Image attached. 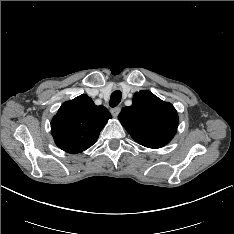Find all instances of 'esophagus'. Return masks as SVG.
<instances>
[{
	"mask_svg": "<svg viewBox=\"0 0 234 234\" xmlns=\"http://www.w3.org/2000/svg\"><path fill=\"white\" fill-rule=\"evenodd\" d=\"M110 111H111V114H112L114 117H116V116L119 115V113H120V111H121V108H119V107L112 108Z\"/></svg>",
	"mask_w": 234,
	"mask_h": 234,
	"instance_id": "obj_1",
	"label": "esophagus"
}]
</instances>
